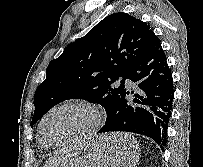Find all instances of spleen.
<instances>
[{"mask_svg":"<svg viewBox=\"0 0 203 167\" xmlns=\"http://www.w3.org/2000/svg\"><path fill=\"white\" fill-rule=\"evenodd\" d=\"M114 144L116 145V150L111 148L106 149L111 159L112 167H137L139 150L136 142L132 140V143L127 146ZM129 150H132L133 154H130Z\"/></svg>","mask_w":203,"mask_h":167,"instance_id":"1","label":"spleen"}]
</instances>
